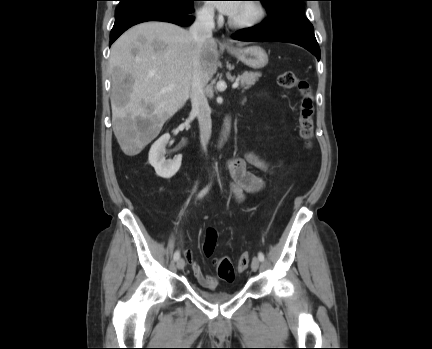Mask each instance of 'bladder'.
Instances as JSON below:
<instances>
[{"mask_svg":"<svg viewBox=\"0 0 432 349\" xmlns=\"http://www.w3.org/2000/svg\"><path fill=\"white\" fill-rule=\"evenodd\" d=\"M196 292L202 299L214 304L224 303L232 297L231 293L223 290L211 291L203 288H196Z\"/></svg>","mask_w":432,"mask_h":349,"instance_id":"1","label":"bladder"}]
</instances>
